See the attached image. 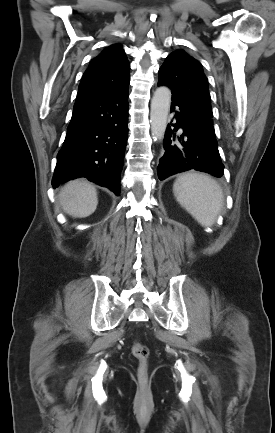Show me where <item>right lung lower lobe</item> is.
Wrapping results in <instances>:
<instances>
[{"mask_svg": "<svg viewBox=\"0 0 275 433\" xmlns=\"http://www.w3.org/2000/svg\"><path fill=\"white\" fill-rule=\"evenodd\" d=\"M127 137L128 89L75 104L57 155L53 188L86 177L119 196Z\"/></svg>", "mask_w": 275, "mask_h": 433, "instance_id": "1", "label": "right lung lower lobe"}]
</instances>
